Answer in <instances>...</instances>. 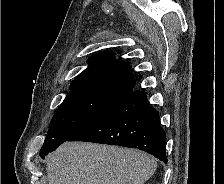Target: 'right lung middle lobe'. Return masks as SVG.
Masks as SVG:
<instances>
[{
  "label": "right lung middle lobe",
  "instance_id": "obj_1",
  "mask_svg": "<svg viewBox=\"0 0 224 184\" xmlns=\"http://www.w3.org/2000/svg\"><path fill=\"white\" fill-rule=\"evenodd\" d=\"M54 114L40 150L58 146L83 130L125 97L130 87L112 83H87L73 88Z\"/></svg>",
  "mask_w": 224,
  "mask_h": 184
}]
</instances>
